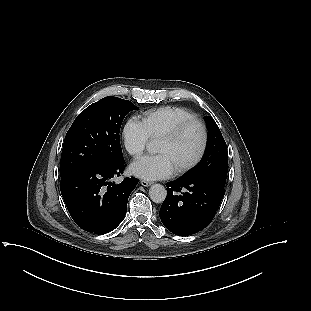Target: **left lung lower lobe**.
<instances>
[{
	"label": "left lung lower lobe",
	"instance_id": "obj_1",
	"mask_svg": "<svg viewBox=\"0 0 311 311\" xmlns=\"http://www.w3.org/2000/svg\"><path fill=\"white\" fill-rule=\"evenodd\" d=\"M166 186L167 197L160 209V219L170 232L179 236L207 227L225 194L224 185L207 178L180 177ZM182 189L187 191L177 195Z\"/></svg>",
	"mask_w": 311,
	"mask_h": 311
}]
</instances>
